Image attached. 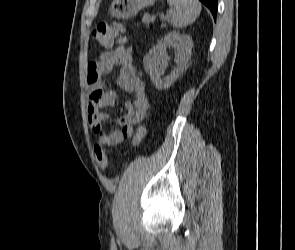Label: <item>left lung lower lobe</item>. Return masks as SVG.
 Wrapping results in <instances>:
<instances>
[{"instance_id":"1","label":"left lung lower lobe","mask_w":295,"mask_h":250,"mask_svg":"<svg viewBox=\"0 0 295 250\" xmlns=\"http://www.w3.org/2000/svg\"><path fill=\"white\" fill-rule=\"evenodd\" d=\"M200 1L209 8L211 13L213 14V17L216 18L218 0H200Z\"/></svg>"}]
</instances>
